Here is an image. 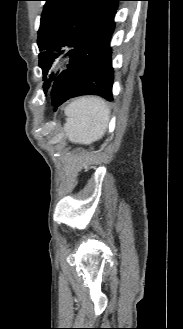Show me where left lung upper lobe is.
<instances>
[{"label": "left lung upper lobe", "mask_w": 183, "mask_h": 329, "mask_svg": "<svg viewBox=\"0 0 183 329\" xmlns=\"http://www.w3.org/2000/svg\"><path fill=\"white\" fill-rule=\"evenodd\" d=\"M37 44L39 66L44 80L51 63L60 54L62 47H69L72 56L87 31L107 12L114 8L118 0H44ZM58 52V53H57ZM55 80L51 75L44 84L46 92Z\"/></svg>", "instance_id": "1"}]
</instances>
